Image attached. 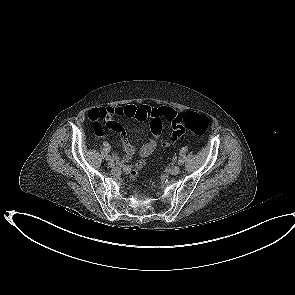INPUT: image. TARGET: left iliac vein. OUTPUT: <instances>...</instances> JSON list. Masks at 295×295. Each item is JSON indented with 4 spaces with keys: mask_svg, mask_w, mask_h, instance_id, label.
I'll return each instance as SVG.
<instances>
[{
    "mask_svg": "<svg viewBox=\"0 0 295 295\" xmlns=\"http://www.w3.org/2000/svg\"><path fill=\"white\" fill-rule=\"evenodd\" d=\"M179 172H180V168H179V166H173V167L170 169V173H171L172 175H177V174H179Z\"/></svg>",
    "mask_w": 295,
    "mask_h": 295,
    "instance_id": "left-iliac-vein-1",
    "label": "left iliac vein"
}]
</instances>
